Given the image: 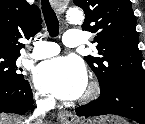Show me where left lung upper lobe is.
Listing matches in <instances>:
<instances>
[{
    "mask_svg": "<svg viewBox=\"0 0 145 124\" xmlns=\"http://www.w3.org/2000/svg\"><path fill=\"white\" fill-rule=\"evenodd\" d=\"M85 12L82 29L95 33L100 57H84L100 84V94L120 83L145 87L136 19L130 0H73Z\"/></svg>",
    "mask_w": 145,
    "mask_h": 124,
    "instance_id": "5c2ea615",
    "label": "left lung upper lobe"
}]
</instances>
